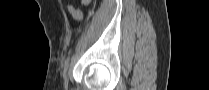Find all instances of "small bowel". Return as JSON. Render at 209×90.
I'll return each mask as SVG.
<instances>
[{"mask_svg": "<svg viewBox=\"0 0 209 90\" xmlns=\"http://www.w3.org/2000/svg\"><path fill=\"white\" fill-rule=\"evenodd\" d=\"M89 0H83V4H89ZM69 13L72 15V17L76 20H82L83 19V14L80 10L74 8L72 5L67 6Z\"/></svg>", "mask_w": 209, "mask_h": 90, "instance_id": "obj_1", "label": "small bowel"}]
</instances>
